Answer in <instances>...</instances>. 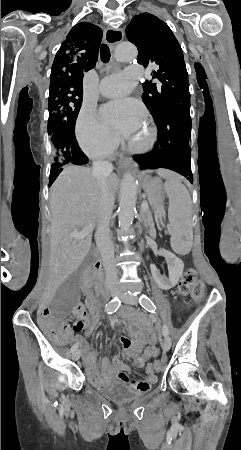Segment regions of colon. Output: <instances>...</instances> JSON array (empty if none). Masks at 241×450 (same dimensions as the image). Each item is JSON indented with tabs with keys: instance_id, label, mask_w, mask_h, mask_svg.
<instances>
[{
	"instance_id": "5ec220e1",
	"label": "colon",
	"mask_w": 241,
	"mask_h": 450,
	"mask_svg": "<svg viewBox=\"0 0 241 450\" xmlns=\"http://www.w3.org/2000/svg\"><path fill=\"white\" fill-rule=\"evenodd\" d=\"M204 286L202 280H198L197 272L194 269L187 270L179 283V294L181 296H188L190 294H193V303L195 305H199L200 303L202 305H205L207 303V300L204 298ZM85 302L79 301L77 303V306L75 307V313L79 315L85 314ZM156 367L160 366L159 362L155 363Z\"/></svg>"
}]
</instances>
